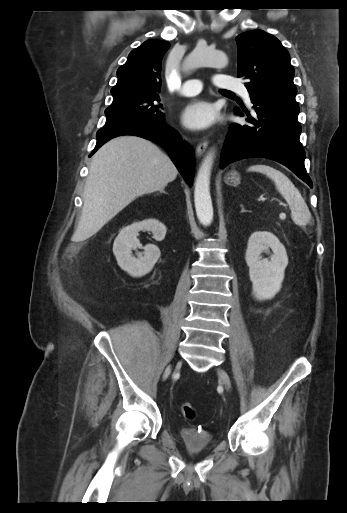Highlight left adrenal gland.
<instances>
[{"label": "left adrenal gland", "instance_id": "left-adrenal-gland-1", "mask_svg": "<svg viewBox=\"0 0 347 513\" xmlns=\"http://www.w3.org/2000/svg\"><path fill=\"white\" fill-rule=\"evenodd\" d=\"M240 207H241V213L246 212L243 204H241Z\"/></svg>", "mask_w": 347, "mask_h": 513}]
</instances>
